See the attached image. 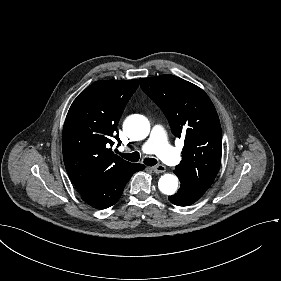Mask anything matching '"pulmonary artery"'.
Here are the masks:
<instances>
[{"mask_svg":"<svg viewBox=\"0 0 281 281\" xmlns=\"http://www.w3.org/2000/svg\"><path fill=\"white\" fill-rule=\"evenodd\" d=\"M152 141H146L142 145V150L146 154H158L169 165H174L179 160V154L174 150L170 141L165 136V126L161 122H156L152 126Z\"/></svg>","mask_w":281,"mask_h":281,"instance_id":"pulmonary-artery-1","label":"pulmonary artery"}]
</instances>
